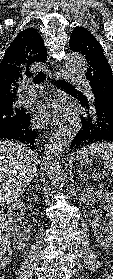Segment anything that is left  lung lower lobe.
Returning <instances> with one entry per match:
<instances>
[{
    "instance_id": "left-lung-lower-lobe-1",
    "label": "left lung lower lobe",
    "mask_w": 113,
    "mask_h": 279,
    "mask_svg": "<svg viewBox=\"0 0 113 279\" xmlns=\"http://www.w3.org/2000/svg\"><path fill=\"white\" fill-rule=\"evenodd\" d=\"M92 92L91 99L78 96L86 114L81 118L82 130L71 142V149L99 141L113 142V97L96 88H92Z\"/></svg>"
}]
</instances>
